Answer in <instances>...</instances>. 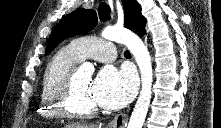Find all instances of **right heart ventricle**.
<instances>
[{"instance_id": "right-heart-ventricle-1", "label": "right heart ventricle", "mask_w": 221, "mask_h": 128, "mask_svg": "<svg viewBox=\"0 0 221 128\" xmlns=\"http://www.w3.org/2000/svg\"><path fill=\"white\" fill-rule=\"evenodd\" d=\"M80 53L70 44L58 50L48 61L43 74L38 113L44 118H58L60 114L52 103L53 94L61 87L78 63L83 61Z\"/></svg>"}]
</instances>
